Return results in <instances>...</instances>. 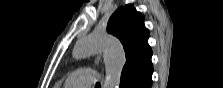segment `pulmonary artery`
<instances>
[{"mask_svg": "<svg viewBox=\"0 0 223 88\" xmlns=\"http://www.w3.org/2000/svg\"><path fill=\"white\" fill-rule=\"evenodd\" d=\"M98 74L91 69H81L71 73L65 80V84L74 88H87L98 81Z\"/></svg>", "mask_w": 223, "mask_h": 88, "instance_id": "obj_1", "label": "pulmonary artery"}]
</instances>
